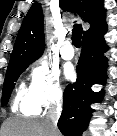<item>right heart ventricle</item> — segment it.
Returning a JSON list of instances; mask_svg holds the SVG:
<instances>
[{
    "label": "right heart ventricle",
    "instance_id": "1",
    "mask_svg": "<svg viewBox=\"0 0 117 136\" xmlns=\"http://www.w3.org/2000/svg\"><path fill=\"white\" fill-rule=\"evenodd\" d=\"M13 109L26 116H34L40 113V107L31 98L29 92L27 93L23 85H20L16 92Z\"/></svg>",
    "mask_w": 117,
    "mask_h": 136
}]
</instances>
